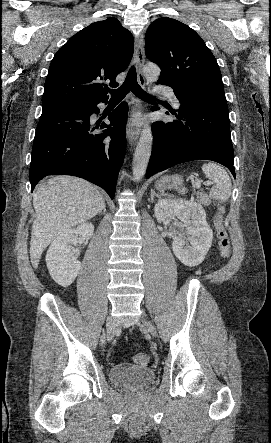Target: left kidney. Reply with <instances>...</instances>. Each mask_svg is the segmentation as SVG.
Listing matches in <instances>:
<instances>
[{
	"label": "left kidney",
	"instance_id": "1",
	"mask_svg": "<svg viewBox=\"0 0 271 443\" xmlns=\"http://www.w3.org/2000/svg\"><path fill=\"white\" fill-rule=\"evenodd\" d=\"M155 218L161 223L169 216H177L188 231V237H173L172 249L185 265H199L212 245L213 231L206 222L205 210L197 202L159 200L154 208ZM189 241V243H188Z\"/></svg>",
	"mask_w": 271,
	"mask_h": 443
}]
</instances>
